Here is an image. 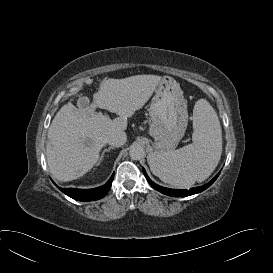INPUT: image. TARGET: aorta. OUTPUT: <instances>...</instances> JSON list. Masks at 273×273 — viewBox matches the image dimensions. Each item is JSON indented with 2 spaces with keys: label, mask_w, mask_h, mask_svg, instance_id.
<instances>
[{
  "label": "aorta",
  "mask_w": 273,
  "mask_h": 273,
  "mask_svg": "<svg viewBox=\"0 0 273 273\" xmlns=\"http://www.w3.org/2000/svg\"><path fill=\"white\" fill-rule=\"evenodd\" d=\"M130 157L133 160H141L145 157V149L140 144H133L129 151Z\"/></svg>",
  "instance_id": "1"
}]
</instances>
